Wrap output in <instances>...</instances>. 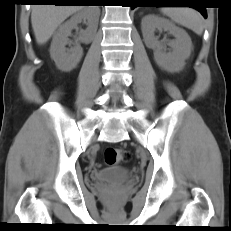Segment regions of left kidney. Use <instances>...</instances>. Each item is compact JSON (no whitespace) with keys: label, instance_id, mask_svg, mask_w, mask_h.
Here are the masks:
<instances>
[{"label":"left kidney","instance_id":"5707ae66","mask_svg":"<svg viewBox=\"0 0 231 231\" xmlns=\"http://www.w3.org/2000/svg\"><path fill=\"white\" fill-rule=\"evenodd\" d=\"M144 42L148 48L154 50V59L158 66L168 72H179L185 66L192 50V41L187 32L167 19L154 15H147L141 22ZM164 30L172 34L175 39L168 42L172 51H162L164 44L155 36V30Z\"/></svg>","mask_w":231,"mask_h":231}]
</instances>
